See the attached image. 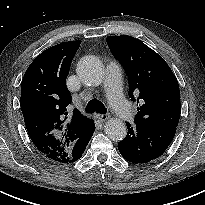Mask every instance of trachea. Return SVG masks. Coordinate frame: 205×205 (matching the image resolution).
<instances>
[{"mask_svg":"<svg viewBox=\"0 0 205 205\" xmlns=\"http://www.w3.org/2000/svg\"><path fill=\"white\" fill-rule=\"evenodd\" d=\"M86 112L87 113L98 112L101 114H106L107 110L102 102L96 99H92L86 105Z\"/></svg>","mask_w":205,"mask_h":205,"instance_id":"1","label":"trachea"}]
</instances>
